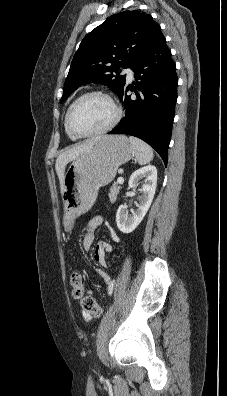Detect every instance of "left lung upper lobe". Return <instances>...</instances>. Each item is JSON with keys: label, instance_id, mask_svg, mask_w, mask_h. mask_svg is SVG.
<instances>
[{"label": "left lung upper lobe", "instance_id": "left-lung-upper-lobe-1", "mask_svg": "<svg viewBox=\"0 0 227 396\" xmlns=\"http://www.w3.org/2000/svg\"><path fill=\"white\" fill-rule=\"evenodd\" d=\"M163 34L152 16L124 11L110 16L82 40L64 83L63 102L78 87L90 82L108 86L117 95L125 88L121 68L135 61Z\"/></svg>", "mask_w": 227, "mask_h": 396}]
</instances>
